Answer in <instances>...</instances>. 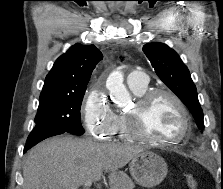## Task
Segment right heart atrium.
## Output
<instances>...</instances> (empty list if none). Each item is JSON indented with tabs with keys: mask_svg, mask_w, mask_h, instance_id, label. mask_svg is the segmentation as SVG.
<instances>
[{
	"mask_svg": "<svg viewBox=\"0 0 223 189\" xmlns=\"http://www.w3.org/2000/svg\"><path fill=\"white\" fill-rule=\"evenodd\" d=\"M81 114L86 130L94 138L109 140L114 134L117 117L105 92L99 87H94L87 93Z\"/></svg>",
	"mask_w": 223,
	"mask_h": 189,
	"instance_id": "1",
	"label": "right heart atrium"
}]
</instances>
